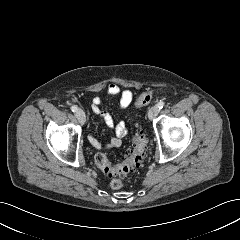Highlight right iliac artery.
Here are the masks:
<instances>
[{
	"label": "right iliac artery",
	"mask_w": 240,
	"mask_h": 240,
	"mask_svg": "<svg viewBox=\"0 0 240 240\" xmlns=\"http://www.w3.org/2000/svg\"><path fill=\"white\" fill-rule=\"evenodd\" d=\"M71 110H72V112H77V111H78V107L75 106V105H73V106L71 107Z\"/></svg>",
	"instance_id": "1"
}]
</instances>
